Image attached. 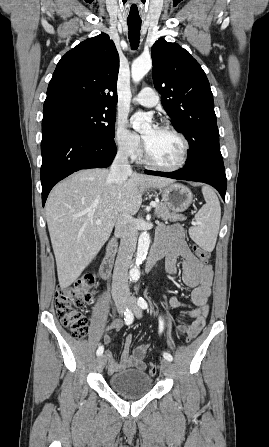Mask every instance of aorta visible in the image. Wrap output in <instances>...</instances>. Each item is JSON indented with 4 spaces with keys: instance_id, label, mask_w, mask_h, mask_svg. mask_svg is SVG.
<instances>
[{
    "instance_id": "1",
    "label": "aorta",
    "mask_w": 269,
    "mask_h": 447,
    "mask_svg": "<svg viewBox=\"0 0 269 447\" xmlns=\"http://www.w3.org/2000/svg\"><path fill=\"white\" fill-rule=\"evenodd\" d=\"M152 68V60L151 56H139L137 60H134L132 66H131V76L133 82L135 84H138V82H141L143 80L144 76L148 74L149 70ZM152 124V116L150 114H147V112H136L133 116V128L134 130H138V132H145V130H152L151 128ZM150 245V235L147 233V231H142L139 235L138 239V247H137V257H136V265L130 269V279H133V281H137L140 277V269L139 263H142L144 261L147 251L149 249Z\"/></svg>"
}]
</instances>
